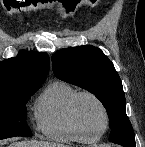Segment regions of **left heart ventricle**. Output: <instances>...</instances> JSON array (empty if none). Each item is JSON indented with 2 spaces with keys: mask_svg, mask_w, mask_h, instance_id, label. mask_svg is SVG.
<instances>
[{
  "mask_svg": "<svg viewBox=\"0 0 145 147\" xmlns=\"http://www.w3.org/2000/svg\"><path fill=\"white\" fill-rule=\"evenodd\" d=\"M77 114L82 128L89 134L95 135L104 127L103 112L98 104L89 97H82L77 104Z\"/></svg>",
  "mask_w": 145,
  "mask_h": 147,
  "instance_id": "left-heart-ventricle-1",
  "label": "left heart ventricle"
}]
</instances>
